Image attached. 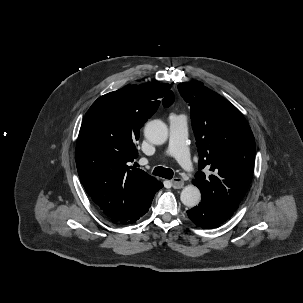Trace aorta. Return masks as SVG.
<instances>
[{
    "mask_svg": "<svg viewBox=\"0 0 303 303\" xmlns=\"http://www.w3.org/2000/svg\"><path fill=\"white\" fill-rule=\"evenodd\" d=\"M144 135L152 144L161 145L168 139V128L164 122L152 120L146 124ZM180 200L185 206L194 207L201 200L200 190L194 185H188L181 191Z\"/></svg>",
    "mask_w": 303,
    "mask_h": 303,
    "instance_id": "762f6f07",
    "label": "aorta"
}]
</instances>
